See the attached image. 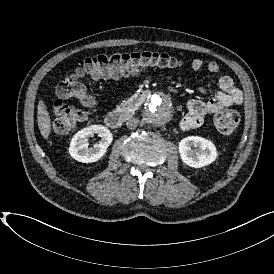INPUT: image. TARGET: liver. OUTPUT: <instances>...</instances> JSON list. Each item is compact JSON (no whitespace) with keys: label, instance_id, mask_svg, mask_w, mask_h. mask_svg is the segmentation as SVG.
I'll use <instances>...</instances> for the list:
<instances>
[{"label":"liver","instance_id":"liver-1","mask_svg":"<svg viewBox=\"0 0 274 274\" xmlns=\"http://www.w3.org/2000/svg\"><path fill=\"white\" fill-rule=\"evenodd\" d=\"M37 122L41 135L44 139H48L51 132V120L42 100L39 101L37 106Z\"/></svg>","mask_w":274,"mask_h":274}]
</instances>
